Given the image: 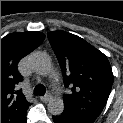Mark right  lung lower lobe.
<instances>
[{"instance_id": "98d812e1", "label": "right lung lower lobe", "mask_w": 123, "mask_h": 123, "mask_svg": "<svg viewBox=\"0 0 123 123\" xmlns=\"http://www.w3.org/2000/svg\"><path fill=\"white\" fill-rule=\"evenodd\" d=\"M22 123H26V120H24Z\"/></svg>"}]
</instances>
